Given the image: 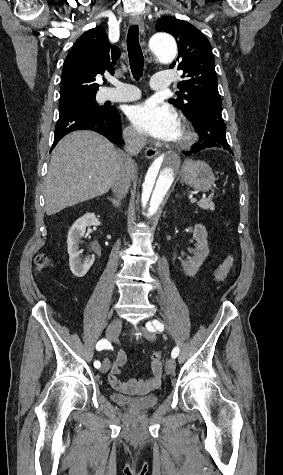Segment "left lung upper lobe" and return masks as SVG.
Instances as JSON below:
<instances>
[{
  "mask_svg": "<svg viewBox=\"0 0 283 475\" xmlns=\"http://www.w3.org/2000/svg\"><path fill=\"white\" fill-rule=\"evenodd\" d=\"M155 29L170 33L178 41L177 62L171 64L170 68L178 66V70L183 71V80L178 83V87L185 94L169 102L182 109L190 119L198 114L202 105H221L215 61L208 39L192 24L171 16L160 18Z\"/></svg>",
  "mask_w": 283,
  "mask_h": 475,
  "instance_id": "obj_1",
  "label": "left lung upper lobe"
}]
</instances>
